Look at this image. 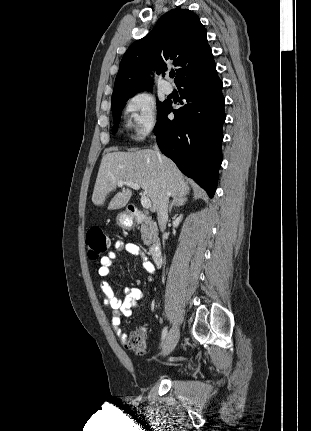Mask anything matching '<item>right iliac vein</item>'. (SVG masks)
Segmentation results:
<instances>
[{
    "label": "right iliac vein",
    "mask_w": 311,
    "mask_h": 431,
    "mask_svg": "<svg viewBox=\"0 0 311 431\" xmlns=\"http://www.w3.org/2000/svg\"><path fill=\"white\" fill-rule=\"evenodd\" d=\"M179 327L175 324L172 329L170 330L166 341L164 343L163 349H162V355H168L169 353H171L173 351V349L175 348L178 340H179Z\"/></svg>",
    "instance_id": "63e3f726"
}]
</instances>
